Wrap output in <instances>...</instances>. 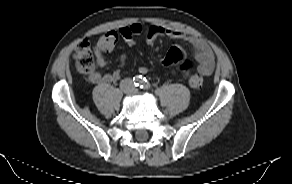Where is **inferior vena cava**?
<instances>
[{"mask_svg": "<svg viewBox=\"0 0 292 184\" xmlns=\"http://www.w3.org/2000/svg\"><path fill=\"white\" fill-rule=\"evenodd\" d=\"M121 88L126 91L130 92L131 89H133V83L130 79H125L121 82Z\"/></svg>", "mask_w": 292, "mask_h": 184, "instance_id": "obj_1", "label": "inferior vena cava"}]
</instances>
